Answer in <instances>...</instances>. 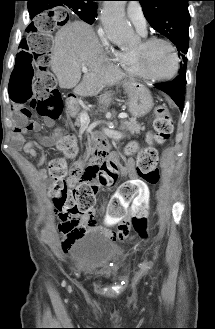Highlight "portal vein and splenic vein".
<instances>
[{
	"mask_svg": "<svg viewBox=\"0 0 215 329\" xmlns=\"http://www.w3.org/2000/svg\"><path fill=\"white\" fill-rule=\"evenodd\" d=\"M82 72L87 73V72H88V68L85 67V66H83V67H82ZM118 117H119L120 119H125V118H127V114H126V113H120ZM80 120H81V122H82L83 124H86V125H88V124L90 123L89 116H88V114H87L86 112H83V113L81 114Z\"/></svg>",
	"mask_w": 215,
	"mask_h": 329,
	"instance_id": "portal-vein-and-splenic-vein-1",
	"label": "portal vein and splenic vein"
}]
</instances>
